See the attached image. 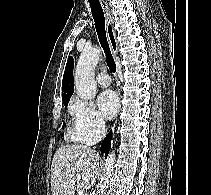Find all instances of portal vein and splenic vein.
<instances>
[{
    "instance_id": "obj_1",
    "label": "portal vein and splenic vein",
    "mask_w": 211,
    "mask_h": 195,
    "mask_svg": "<svg viewBox=\"0 0 211 195\" xmlns=\"http://www.w3.org/2000/svg\"><path fill=\"white\" fill-rule=\"evenodd\" d=\"M77 179H78V180L80 179V176H79V175H77ZM78 195H84L83 190H79V191H78Z\"/></svg>"
}]
</instances>
